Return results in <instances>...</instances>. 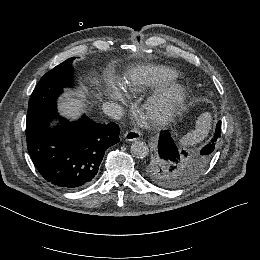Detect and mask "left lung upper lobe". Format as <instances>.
<instances>
[{"label":"left lung upper lobe","instance_id":"5c2ea615","mask_svg":"<svg viewBox=\"0 0 260 260\" xmlns=\"http://www.w3.org/2000/svg\"><path fill=\"white\" fill-rule=\"evenodd\" d=\"M212 153L200 152L195 157L177 160L163 159L153 148L143 165L145 177L154 184L167 189H176L197 179L208 164Z\"/></svg>","mask_w":260,"mask_h":260}]
</instances>
